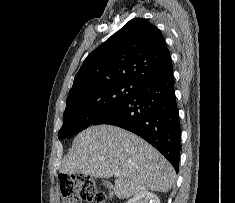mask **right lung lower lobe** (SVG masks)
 <instances>
[{
    "mask_svg": "<svg viewBox=\"0 0 235 203\" xmlns=\"http://www.w3.org/2000/svg\"><path fill=\"white\" fill-rule=\"evenodd\" d=\"M119 126L159 150L179 170L180 121L172 67L140 83L121 105L94 123Z\"/></svg>",
    "mask_w": 235,
    "mask_h": 203,
    "instance_id": "1",
    "label": "right lung lower lobe"
}]
</instances>
